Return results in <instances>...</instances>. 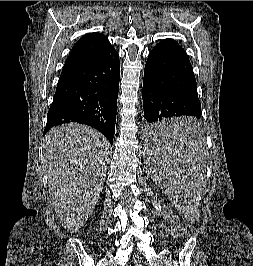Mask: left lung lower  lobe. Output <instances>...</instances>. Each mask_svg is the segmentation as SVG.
<instances>
[{
    "instance_id": "left-lung-lower-lobe-1",
    "label": "left lung lower lobe",
    "mask_w": 253,
    "mask_h": 266,
    "mask_svg": "<svg viewBox=\"0 0 253 266\" xmlns=\"http://www.w3.org/2000/svg\"><path fill=\"white\" fill-rule=\"evenodd\" d=\"M143 108L151 141L189 137L197 131L201 104L193 68L185 50L164 39L150 52L144 70ZM173 116L191 118L168 122Z\"/></svg>"
}]
</instances>
